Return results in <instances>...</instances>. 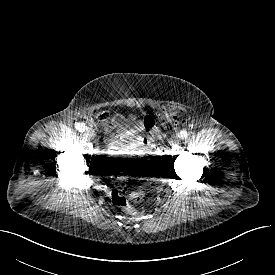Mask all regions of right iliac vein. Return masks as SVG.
<instances>
[{
	"label": "right iliac vein",
	"mask_w": 275,
	"mask_h": 275,
	"mask_svg": "<svg viewBox=\"0 0 275 275\" xmlns=\"http://www.w3.org/2000/svg\"><path fill=\"white\" fill-rule=\"evenodd\" d=\"M86 132L90 138H94L96 136L95 131L92 128H88Z\"/></svg>",
	"instance_id": "right-iliac-vein-1"
}]
</instances>
